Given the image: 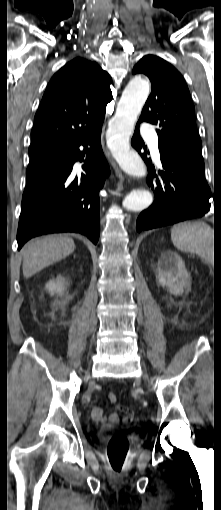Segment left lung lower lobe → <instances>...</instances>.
I'll use <instances>...</instances> for the list:
<instances>
[{"label":"left lung lower lobe","instance_id":"left-lung-lower-lobe-1","mask_svg":"<svg viewBox=\"0 0 221 510\" xmlns=\"http://www.w3.org/2000/svg\"><path fill=\"white\" fill-rule=\"evenodd\" d=\"M140 122V121H139ZM131 145L148 166V185L155 191L153 204L139 215L137 231L162 227L187 219L202 217L210 210V188L205 180L204 165L159 146L163 170L155 174L147 148L136 125ZM144 148L145 152L141 150Z\"/></svg>","mask_w":221,"mask_h":510}]
</instances>
